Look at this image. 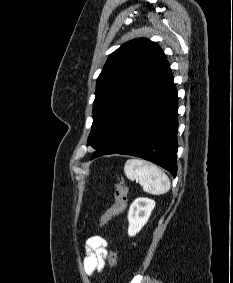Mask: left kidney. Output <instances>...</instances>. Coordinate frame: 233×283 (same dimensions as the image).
<instances>
[{
  "instance_id": "obj_1",
  "label": "left kidney",
  "mask_w": 233,
  "mask_h": 283,
  "mask_svg": "<svg viewBox=\"0 0 233 283\" xmlns=\"http://www.w3.org/2000/svg\"><path fill=\"white\" fill-rule=\"evenodd\" d=\"M155 202L149 198H137L131 204L128 212V234L135 236L142 227L147 223Z\"/></svg>"
}]
</instances>
